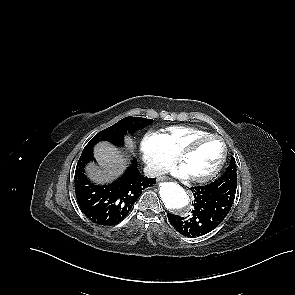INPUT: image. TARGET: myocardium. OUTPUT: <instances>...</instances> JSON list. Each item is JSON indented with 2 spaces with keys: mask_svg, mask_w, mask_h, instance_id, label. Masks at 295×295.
Returning <instances> with one entry per match:
<instances>
[{
  "mask_svg": "<svg viewBox=\"0 0 295 295\" xmlns=\"http://www.w3.org/2000/svg\"><path fill=\"white\" fill-rule=\"evenodd\" d=\"M209 139H216V140L220 141V143L222 145V154H221L220 160H219L218 164L215 166V168L211 172H209L208 174H206L204 176H197V177L190 176V180L192 182L206 183V182L211 181L213 178H215L220 173V171L222 170V168L226 162L227 153H228L226 142L224 141V139L221 136H219L217 134H212V133L195 137L190 142H188L177 154V160L180 163H182L184 161V159L189 154H191L197 148V146L199 144H201L202 142L209 140Z\"/></svg>",
  "mask_w": 295,
  "mask_h": 295,
  "instance_id": "1",
  "label": "myocardium"
}]
</instances>
